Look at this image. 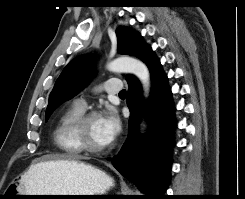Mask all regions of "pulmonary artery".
Masks as SVG:
<instances>
[{"label": "pulmonary artery", "instance_id": "e3ab8cb5", "mask_svg": "<svg viewBox=\"0 0 245 199\" xmlns=\"http://www.w3.org/2000/svg\"><path fill=\"white\" fill-rule=\"evenodd\" d=\"M122 88L123 85L119 79H109L102 86L103 91H105L107 94H117L122 91ZM75 105L83 109L85 106V101L83 99H79L75 102Z\"/></svg>", "mask_w": 245, "mask_h": 199}]
</instances>
